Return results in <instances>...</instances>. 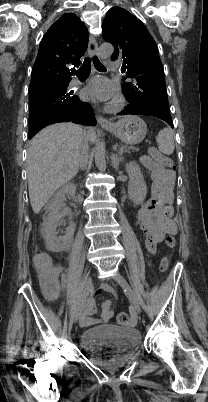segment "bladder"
<instances>
[{"mask_svg":"<svg viewBox=\"0 0 208 402\" xmlns=\"http://www.w3.org/2000/svg\"><path fill=\"white\" fill-rule=\"evenodd\" d=\"M140 336L137 330L111 324L94 325L83 331L81 347L88 349L94 363H121L140 347Z\"/></svg>","mask_w":208,"mask_h":402,"instance_id":"31cf9c89","label":"bladder"}]
</instances>
